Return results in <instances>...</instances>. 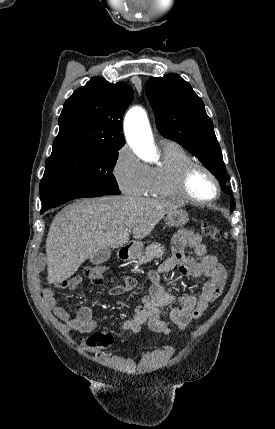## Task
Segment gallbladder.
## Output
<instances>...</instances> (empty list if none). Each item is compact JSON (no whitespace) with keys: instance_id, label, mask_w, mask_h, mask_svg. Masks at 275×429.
I'll return each instance as SVG.
<instances>
[{"instance_id":"obj_1","label":"gallbladder","mask_w":275,"mask_h":429,"mask_svg":"<svg viewBox=\"0 0 275 429\" xmlns=\"http://www.w3.org/2000/svg\"><path fill=\"white\" fill-rule=\"evenodd\" d=\"M111 256L110 249H104L96 253L94 256L90 258V262L94 265L102 264L106 262Z\"/></svg>"}]
</instances>
